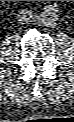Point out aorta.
Masks as SVG:
<instances>
[{
	"label": "aorta",
	"mask_w": 74,
	"mask_h": 122,
	"mask_svg": "<svg viewBox=\"0 0 74 122\" xmlns=\"http://www.w3.org/2000/svg\"><path fill=\"white\" fill-rule=\"evenodd\" d=\"M46 19L48 21H53L55 19V16L54 15H50L49 13L45 15Z\"/></svg>",
	"instance_id": "762f6f07"
}]
</instances>
